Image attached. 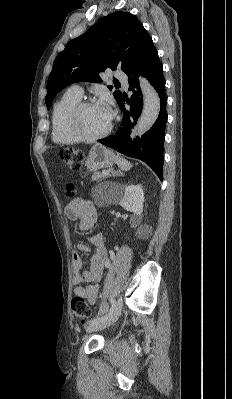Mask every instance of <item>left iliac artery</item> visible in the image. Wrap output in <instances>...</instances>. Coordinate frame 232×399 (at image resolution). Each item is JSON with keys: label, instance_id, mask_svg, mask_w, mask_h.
Segmentation results:
<instances>
[{"label": "left iliac artery", "instance_id": "obj_1", "mask_svg": "<svg viewBox=\"0 0 232 399\" xmlns=\"http://www.w3.org/2000/svg\"><path fill=\"white\" fill-rule=\"evenodd\" d=\"M116 307H117V301L112 302L111 309H110L108 315H105L103 317H94L93 319L88 321V324H94V323L98 322L99 320H102V319L107 318L108 316L112 315L114 310L116 309Z\"/></svg>", "mask_w": 232, "mask_h": 399}]
</instances>
